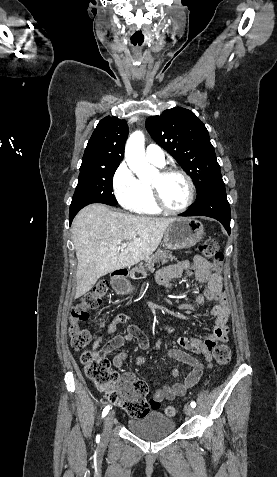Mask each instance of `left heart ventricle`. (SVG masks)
<instances>
[{
	"label": "left heart ventricle",
	"mask_w": 277,
	"mask_h": 477,
	"mask_svg": "<svg viewBox=\"0 0 277 477\" xmlns=\"http://www.w3.org/2000/svg\"><path fill=\"white\" fill-rule=\"evenodd\" d=\"M151 182H157L165 204L173 209L184 205L188 197V185L186 180L177 174L161 178L158 173Z\"/></svg>",
	"instance_id": "b2bd125f"
}]
</instances>
